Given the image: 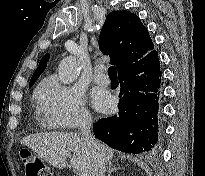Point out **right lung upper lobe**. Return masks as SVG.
Here are the masks:
<instances>
[{"label": "right lung upper lobe", "instance_id": "1", "mask_svg": "<svg viewBox=\"0 0 205 176\" xmlns=\"http://www.w3.org/2000/svg\"><path fill=\"white\" fill-rule=\"evenodd\" d=\"M99 45L105 54L111 55V63L116 65L119 73L147 54L155 52L147 28L129 11H113L106 17ZM48 60L49 54H46L32 75L29 87L45 70Z\"/></svg>", "mask_w": 205, "mask_h": 176}]
</instances>
